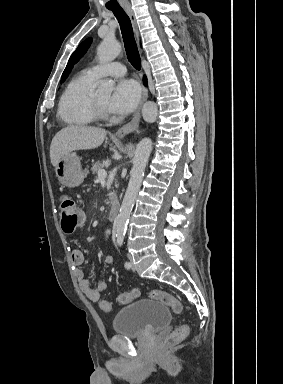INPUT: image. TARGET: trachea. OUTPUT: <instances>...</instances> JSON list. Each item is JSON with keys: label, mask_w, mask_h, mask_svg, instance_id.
Returning <instances> with one entry per match:
<instances>
[{"label": "trachea", "mask_w": 283, "mask_h": 384, "mask_svg": "<svg viewBox=\"0 0 283 384\" xmlns=\"http://www.w3.org/2000/svg\"><path fill=\"white\" fill-rule=\"evenodd\" d=\"M115 17L117 18L120 29L122 32V38L124 42L125 51L127 54L128 61L133 65L136 70L141 69V59L138 52L137 44L133 34V28L131 20L127 13L124 12L123 8H109Z\"/></svg>", "instance_id": "obj_1"}]
</instances>
